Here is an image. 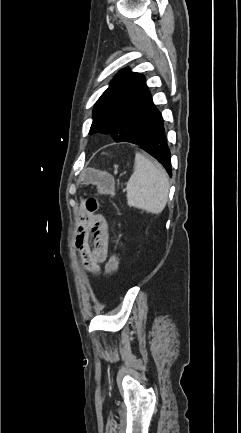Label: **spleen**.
<instances>
[{
    "mask_svg": "<svg viewBox=\"0 0 241 433\" xmlns=\"http://www.w3.org/2000/svg\"><path fill=\"white\" fill-rule=\"evenodd\" d=\"M134 168L126 186L128 204L151 214L161 213L169 193L166 171L141 153L135 155Z\"/></svg>",
    "mask_w": 241,
    "mask_h": 433,
    "instance_id": "1",
    "label": "spleen"
}]
</instances>
